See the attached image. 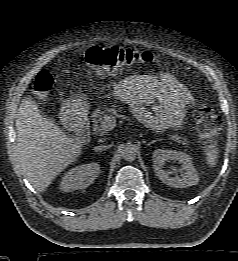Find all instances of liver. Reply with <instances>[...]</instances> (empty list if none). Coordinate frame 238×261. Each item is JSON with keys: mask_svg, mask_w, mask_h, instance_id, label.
<instances>
[{"mask_svg": "<svg viewBox=\"0 0 238 261\" xmlns=\"http://www.w3.org/2000/svg\"><path fill=\"white\" fill-rule=\"evenodd\" d=\"M16 129L21 169L39 192H44L55 177L81 155V141L67 135L52 118L41 114L31 97L23 99L19 106Z\"/></svg>", "mask_w": 238, "mask_h": 261, "instance_id": "obj_1", "label": "liver"}]
</instances>
